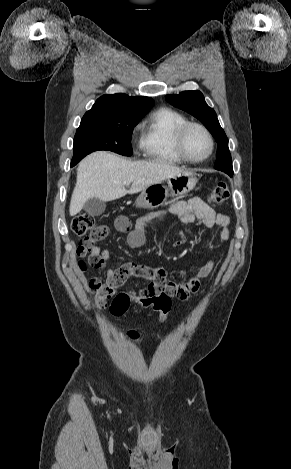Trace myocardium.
<instances>
[{"mask_svg":"<svg viewBox=\"0 0 291 469\" xmlns=\"http://www.w3.org/2000/svg\"><path fill=\"white\" fill-rule=\"evenodd\" d=\"M193 127H197L201 129L206 134L209 140V144H210L209 151L205 156L201 158L191 157L186 150V146H185L186 136H187L188 131ZM175 147H176L177 153L184 161L198 164V163H202L206 161L213 154L215 142H214L212 133L209 131V129L206 126L198 122L187 121L181 126H179L178 129L176 130Z\"/></svg>","mask_w":291,"mask_h":469,"instance_id":"obj_1","label":"myocardium"}]
</instances>
